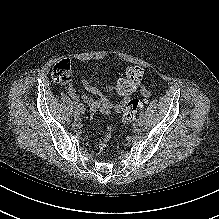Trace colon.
<instances>
[{
  "mask_svg": "<svg viewBox=\"0 0 219 219\" xmlns=\"http://www.w3.org/2000/svg\"><path fill=\"white\" fill-rule=\"evenodd\" d=\"M71 76L72 65L70 60L62 59L54 65L52 77L56 82L67 83ZM142 78L143 70L138 66H130L126 69V77L120 79L109 91L112 95L127 98L120 108L122 111L121 121L124 124H129L135 119L137 111L142 105V102L139 99L130 97L141 84ZM111 109L112 106L110 102L105 99L100 107V111L109 112ZM106 138H108V136Z\"/></svg>",
  "mask_w": 219,
  "mask_h": 219,
  "instance_id": "1",
  "label": "colon"
}]
</instances>
